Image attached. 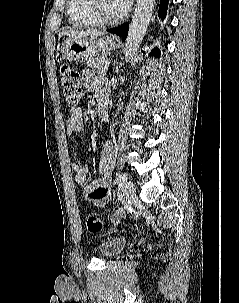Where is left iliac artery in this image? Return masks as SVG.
<instances>
[{"label": "left iliac artery", "mask_w": 239, "mask_h": 303, "mask_svg": "<svg viewBox=\"0 0 239 303\" xmlns=\"http://www.w3.org/2000/svg\"><path fill=\"white\" fill-rule=\"evenodd\" d=\"M127 181L125 174H119L118 176V199L120 200L124 196V188Z\"/></svg>", "instance_id": "44dca946"}]
</instances>
